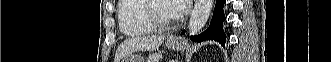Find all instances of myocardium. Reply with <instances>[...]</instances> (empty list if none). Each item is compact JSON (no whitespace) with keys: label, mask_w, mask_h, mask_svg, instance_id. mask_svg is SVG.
Wrapping results in <instances>:
<instances>
[{"label":"myocardium","mask_w":331,"mask_h":62,"mask_svg":"<svg viewBox=\"0 0 331 62\" xmlns=\"http://www.w3.org/2000/svg\"><path fill=\"white\" fill-rule=\"evenodd\" d=\"M155 0H146L144 2V18L146 22L156 30H165L173 27L176 24V19L163 20L159 17L155 10Z\"/></svg>","instance_id":"1"}]
</instances>
